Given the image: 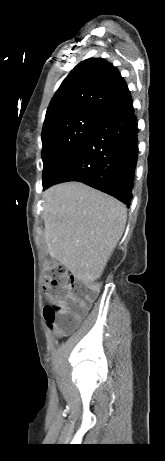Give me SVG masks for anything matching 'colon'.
Returning <instances> with one entry per match:
<instances>
[{"instance_id": "colon-1", "label": "colon", "mask_w": 165, "mask_h": 461, "mask_svg": "<svg viewBox=\"0 0 165 461\" xmlns=\"http://www.w3.org/2000/svg\"><path fill=\"white\" fill-rule=\"evenodd\" d=\"M44 288L50 298L44 315L59 336H66L78 327L98 292L97 285L78 281L56 262L45 267Z\"/></svg>"}]
</instances>
